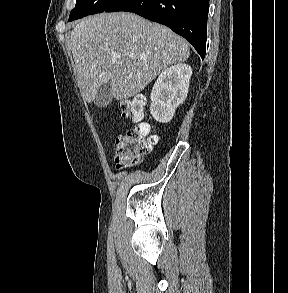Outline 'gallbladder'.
<instances>
[{
  "instance_id": "1",
  "label": "gallbladder",
  "mask_w": 288,
  "mask_h": 293,
  "mask_svg": "<svg viewBox=\"0 0 288 293\" xmlns=\"http://www.w3.org/2000/svg\"><path fill=\"white\" fill-rule=\"evenodd\" d=\"M112 99V88L110 82L101 85L94 98V104L99 108L106 107Z\"/></svg>"
}]
</instances>
